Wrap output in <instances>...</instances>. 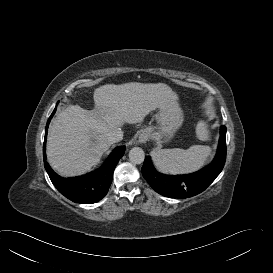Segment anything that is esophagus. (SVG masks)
I'll list each match as a JSON object with an SVG mask.
<instances>
[{
    "label": "esophagus",
    "instance_id": "esophagus-1",
    "mask_svg": "<svg viewBox=\"0 0 273 273\" xmlns=\"http://www.w3.org/2000/svg\"><path fill=\"white\" fill-rule=\"evenodd\" d=\"M150 138V133L149 131L147 130H144L140 135H139V138H138V142L140 144H144L146 143Z\"/></svg>",
    "mask_w": 273,
    "mask_h": 273
}]
</instances>
